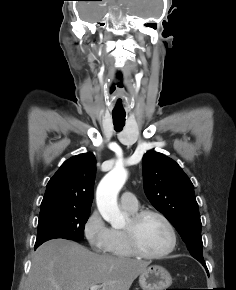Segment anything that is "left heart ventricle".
Returning <instances> with one entry per match:
<instances>
[{"mask_svg": "<svg viewBox=\"0 0 236 290\" xmlns=\"http://www.w3.org/2000/svg\"><path fill=\"white\" fill-rule=\"evenodd\" d=\"M129 220L125 229L129 228ZM138 242L141 248L150 254L166 250L170 244V234L166 225L156 216L145 217L137 229Z\"/></svg>", "mask_w": 236, "mask_h": 290, "instance_id": "1", "label": "left heart ventricle"}]
</instances>
